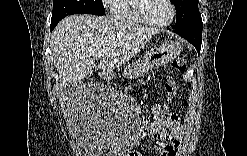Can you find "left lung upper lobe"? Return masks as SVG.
Returning a JSON list of instances; mask_svg holds the SVG:
<instances>
[{"instance_id":"1","label":"left lung upper lobe","mask_w":247,"mask_h":156,"mask_svg":"<svg viewBox=\"0 0 247 156\" xmlns=\"http://www.w3.org/2000/svg\"><path fill=\"white\" fill-rule=\"evenodd\" d=\"M176 9V28L201 19L198 0H173Z\"/></svg>"}]
</instances>
